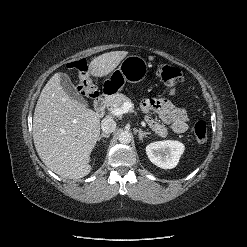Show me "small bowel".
Listing matches in <instances>:
<instances>
[{
    "label": "small bowel",
    "mask_w": 247,
    "mask_h": 247,
    "mask_svg": "<svg viewBox=\"0 0 247 247\" xmlns=\"http://www.w3.org/2000/svg\"><path fill=\"white\" fill-rule=\"evenodd\" d=\"M147 125L158 136H166L167 126L176 133H184L188 129V115L185 109L176 106L166 98H147L141 103ZM156 113L161 121L154 119L151 113Z\"/></svg>",
    "instance_id": "c3829d8e"
}]
</instances>
